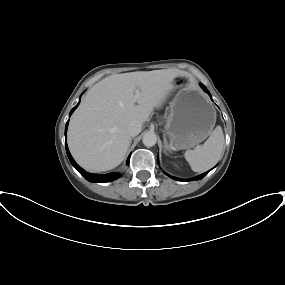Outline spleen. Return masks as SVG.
<instances>
[{"label": "spleen", "mask_w": 285, "mask_h": 285, "mask_svg": "<svg viewBox=\"0 0 285 285\" xmlns=\"http://www.w3.org/2000/svg\"><path fill=\"white\" fill-rule=\"evenodd\" d=\"M223 145V131L220 126H217L202 146L187 150L184 157L194 172H204L219 161Z\"/></svg>", "instance_id": "obj_1"}]
</instances>
